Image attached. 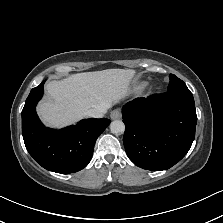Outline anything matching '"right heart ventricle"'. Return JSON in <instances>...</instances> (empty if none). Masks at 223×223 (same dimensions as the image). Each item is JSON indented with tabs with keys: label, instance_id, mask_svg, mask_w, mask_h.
<instances>
[{
	"label": "right heart ventricle",
	"instance_id": "e07e8e85",
	"mask_svg": "<svg viewBox=\"0 0 223 223\" xmlns=\"http://www.w3.org/2000/svg\"><path fill=\"white\" fill-rule=\"evenodd\" d=\"M141 88V86H138L137 88H136V90H139Z\"/></svg>",
	"mask_w": 223,
	"mask_h": 223
}]
</instances>
